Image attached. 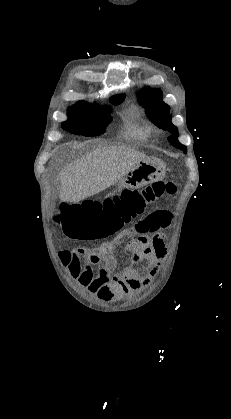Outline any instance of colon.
I'll list each match as a JSON object with an SVG mask.
<instances>
[{"label":"colon","instance_id":"1","mask_svg":"<svg viewBox=\"0 0 231 419\" xmlns=\"http://www.w3.org/2000/svg\"><path fill=\"white\" fill-rule=\"evenodd\" d=\"M175 189L172 182H156L142 189H125L102 201L83 205L63 203L62 226L73 237L103 240L118 233L149 204L165 194L174 193Z\"/></svg>","mask_w":231,"mask_h":419}]
</instances>
